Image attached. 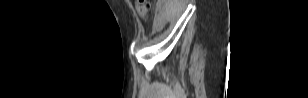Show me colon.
I'll return each instance as SVG.
<instances>
[{
  "label": "colon",
  "instance_id": "obj_1",
  "mask_svg": "<svg viewBox=\"0 0 308 98\" xmlns=\"http://www.w3.org/2000/svg\"><path fill=\"white\" fill-rule=\"evenodd\" d=\"M137 13L140 17L146 19L149 16V4L145 0H137L135 2Z\"/></svg>",
  "mask_w": 308,
  "mask_h": 98
}]
</instances>
